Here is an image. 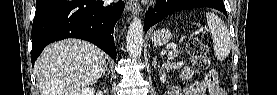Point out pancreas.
Listing matches in <instances>:
<instances>
[{
	"label": "pancreas",
	"mask_w": 277,
	"mask_h": 95,
	"mask_svg": "<svg viewBox=\"0 0 277 95\" xmlns=\"http://www.w3.org/2000/svg\"><path fill=\"white\" fill-rule=\"evenodd\" d=\"M178 55H179V51L178 50H171L167 54V59L168 60H172L173 58L177 57Z\"/></svg>",
	"instance_id": "obj_1"
}]
</instances>
